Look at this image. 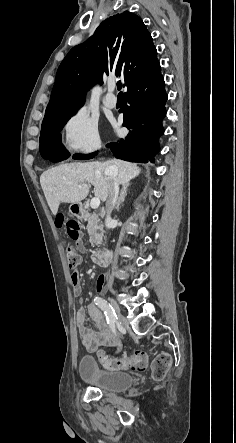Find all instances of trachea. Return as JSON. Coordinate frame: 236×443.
<instances>
[{"mask_svg": "<svg viewBox=\"0 0 236 443\" xmlns=\"http://www.w3.org/2000/svg\"><path fill=\"white\" fill-rule=\"evenodd\" d=\"M117 88H118V90H121V88H122L121 82L117 83ZM118 96H122V92L121 91L119 92Z\"/></svg>", "mask_w": 236, "mask_h": 443, "instance_id": "3493384b", "label": "trachea"}]
</instances>
